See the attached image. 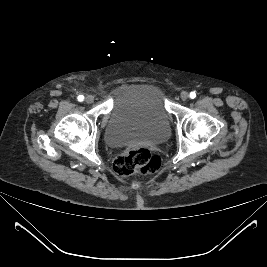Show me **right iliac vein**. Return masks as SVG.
Masks as SVG:
<instances>
[{
  "label": "right iliac vein",
  "instance_id": "right-iliac-vein-1",
  "mask_svg": "<svg viewBox=\"0 0 267 267\" xmlns=\"http://www.w3.org/2000/svg\"><path fill=\"white\" fill-rule=\"evenodd\" d=\"M85 102L88 103V104H91L94 102V97L92 95H87L85 97Z\"/></svg>",
  "mask_w": 267,
  "mask_h": 267
}]
</instances>
